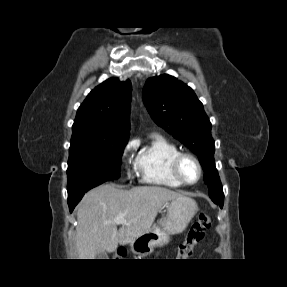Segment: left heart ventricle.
Listing matches in <instances>:
<instances>
[{
    "instance_id": "obj_1",
    "label": "left heart ventricle",
    "mask_w": 287,
    "mask_h": 287,
    "mask_svg": "<svg viewBox=\"0 0 287 287\" xmlns=\"http://www.w3.org/2000/svg\"><path fill=\"white\" fill-rule=\"evenodd\" d=\"M184 179L188 182H194L198 178V168L192 160L186 159L181 166Z\"/></svg>"
}]
</instances>
